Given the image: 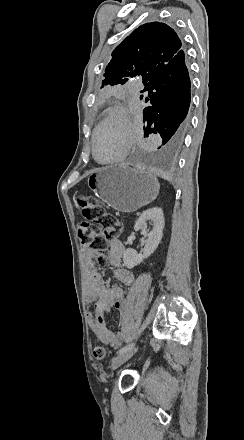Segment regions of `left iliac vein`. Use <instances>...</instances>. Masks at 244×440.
<instances>
[{
	"label": "left iliac vein",
	"instance_id": "1",
	"mask_svg": "<svg viewBox=\"0 0 244 440\" xmlns=\"http://www.w3.org/2000/svg\"><path fill=\"white\" fill-rule=\"evenodd\" d=\"M138 348L127 350L123 353H120L116 357L112 359V370L117 369L120 365H122L124 362H126L128 359H130L134 353H136Z\"/></svg>",
	"mask_w": 244,
	"mask_h": 440
}]
</instances>
